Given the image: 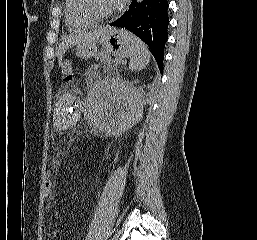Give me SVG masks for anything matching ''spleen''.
<instances>
[{"instance_id": "spleen-1", "label": "spleen", "mask_w": 257, "mask_h": 240, "mask_svg": "<svg viewBox=\"0 0 257 240\" xmlns=\"http://www.w3.org/2000/svg\"><path fill=\"white\" fill-rule=\"evenodd\" d=\"M125 36L130 43L129 67L133 71L144 69L150 62L151 54L148 47L137 36L125 31Z\"/></svg>"}]
</instances>
